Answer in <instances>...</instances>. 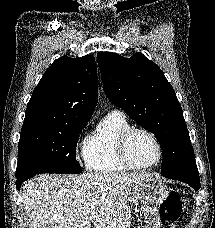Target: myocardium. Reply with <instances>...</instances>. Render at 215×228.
I'll list each match as a JSON object with an SVG mask.
<instances>
[{"instance_id": "myocardium-1", "label": "myocardium", "mask_w": 215, "mask_h": 228, "mask_svg": "<svg viewBox=\"0 0 215 228\" xmlns=\"http://www.w3.org/2000/svg\"><path fill=\"white\" fill-rule=\"evenodd\" d=\"M144 133L146 134L155 144L156 150H157V158L156 160L145 166H136L134 165L129 158L128 155V144L130 139L135 133ZM116 149H117V155L122 163V165L127 168L128 170H137V171H145V170H150L158 166L162 160L163 156V149L160 141L156 137V135L150 131L149 129H146L144 127H130L127 130H125L118 138L117 144H116Z\"/></svg>"}]
</instances>
